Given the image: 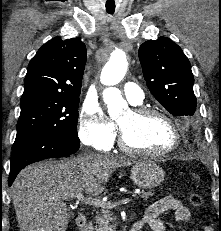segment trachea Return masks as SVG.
I'll list each match as a JSON object with an SVG mask.
<instances>
[{"label": "trachea", "instance_id": "1", "mask_svg": "<svg viewBox=\"0 0 221 231\" xmlns=\"http://www.w3.org/2000/svg\"><path fill=\"white\" fill-rule=\"evenodd\" d=\"M109 14H113L114 13V11H111V10H108L107 11Z\"/></svg>", "mask_w": 221, "mask_h": 231}]
</instances>
